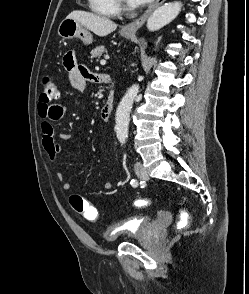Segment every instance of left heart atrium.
<instances>
[{"mask_svg":"<svg viewBox=\"0 0 249 294\" xmlns=\"http://www.w3.org/2000/svg\"><path fill=\"white\" fill-rule=\"evenodd\" d=\"M150 1H152V0H129V2L131 4L137 5V6L144 5V4H146V3L150 2Z\"/></svg>","mask_w":249,"mask_h":294,"instance_id":"1","label":"left heart atrium"}]
</instances>
